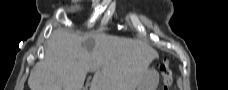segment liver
Masks as SVG:
<instances>
[{
    "instance_id": "6515ba94",
    "label": "liver",
    "mask_w": 228,
    "mask_h": 90,
    "mask_svg": "<svg viewBox=\"0 0 228 90\" xmlns=\"http://www.w3.org/2000/svg\"><path fill=\"white\" fill-rule=\"evenodd\" d=\"M89 51L74 31L58 29L47 43L44 60L30 73V90H82L94 71L90 90H136L144 80L157 51L139 39L95 35Z\"/></svg>"
}]
</instances>
